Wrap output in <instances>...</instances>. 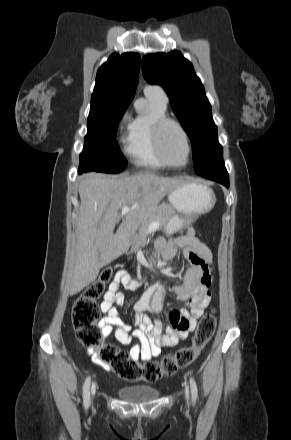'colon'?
<instances>
[{
    "mask_svg": "<svg viewBox=\"0 0 291 440\" xmlns=\"http://www.w3.org/2000/svg\"><path fill=\"white\" fill-rule=\"evenodd\" d=\"M112 276L111 267L103 268L98 279L87 286L75 300L71 320L77 339L94 353L98 361L108 364L115 374L126 381L153 383L164 375L173 374L178 369L190 365L215 332V307L200 318L191 345L179 349L174 355L165 356L160 364L154 362L139 364L115 345L105 343L102 340L101 328L97 325L99 318L97 300L104 293L105 286ZM169 321L172 325L178 322L175 317H170ZM182 323L186 325L190 321L183 319Z\"/></svg>",
    "mask_w": 291,
    "mask_h": 440,
    "instance_id": "obj_1",
    "label": "colon"
}]
</instances>
